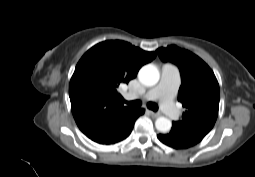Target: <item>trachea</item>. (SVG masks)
I'll return each instance as SVG.
<instances>
[{
    "label": "trachea",
    "instance_id": "trachea-1",
    "mask_svg": "<svg viewBox=\"0 0 255 177\" xmlns=\"http://www.w3.org/2000/svg\"><path fill=\"white\" fill-rule=\"evenodd\" d=\"M125 103H127L130 107H133V108H138L141 106V101L140 100H135V101H130V102H127V101H124ZM147 107L153 111H157L158 110V106L157 104L153 103V102H149L147 103Z\"/></svg>",
    "mask_w": 255,
    "mask_h": 177
}]
</instances>
